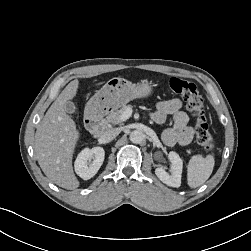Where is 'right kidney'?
Returning <instances> with one entry per match:
<instances>
[{
	"label": "right kidney",
	"mask_w": 251,
	"mask_h": 251,
	"mask_svg": "<svg viewBox=\"0 0 251 251\" xmlns=\"http://www.w3.org/2000/svg\"><path fill=\"white\" fill-rule=\"evenodd\" d=\"M105 151L102 147L85 148L75 160V172L84 180L92 178L104 161ZM93 159L92 162L90 160Z\"/></svg>",
	"instance_id": "1"
}]
</instances>
